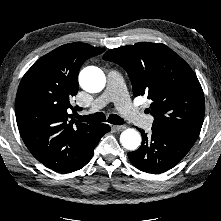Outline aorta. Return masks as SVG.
Instances as JSON below:
<instances>
[{
    "label": "aorta",
    "instance_id": "aorta-1",
    "mask_svg": "<svg viewBox=\"0 0 221 221\" xmlns=\"http://www.w3.org/2000/svg\"><path fill=\"white\" fill-rule=\"evenodd\" d=\"M79 83L83 90L89 93H99L105 87L106 77L98 67L88 66L81 70ZM120 142L127 150H136L140 146L141 136L135 129L129 128L121 133Z\"/></svg>",
    "mask_w": 221,
    "mask_h": 221
}]
</instances>
